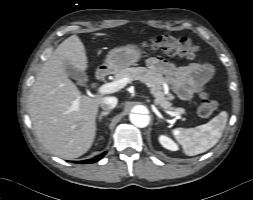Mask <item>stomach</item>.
Returning <instances> with one entry per match:
<instances>
[{
    "label": "stomach",
    "mask_w": 253,
    "mask_h": 200,
    "mask_svg": "<svg viewBox=\"0 0 253 200\" xmlns=\"http://www.w3.org/2000/svg\"><path fill=\"white\" fill-rule=\"evenodd\" d=\"M142 52L136 45H127L112 49L105 59L103 66L110 72L135 65L141 58Z\"/></svg>",
    "instance_id": "1"
}]
</instances>
